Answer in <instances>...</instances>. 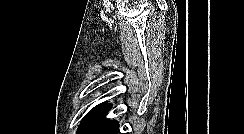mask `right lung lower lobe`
<instances>
[{"instance_id":"1","label":"right lung lower lobe","mask_w":244,"mask_h":134,"mask_svg":"<svg viewBox=\"0 0 244 134\" xmlns=\"http://www.w3.org/2000/svg\"><path fill=\"white\" fill-rule=\"evenodd\" d=\"M118 132H119V126L112 134H118Z\"/></svg>"}]
</instances>
